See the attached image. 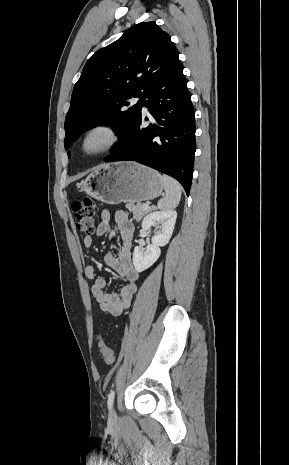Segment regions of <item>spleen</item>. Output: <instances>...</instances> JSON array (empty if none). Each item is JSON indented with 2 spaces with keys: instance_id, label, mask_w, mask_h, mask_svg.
<instances>
[{
  "instance_id": "3e777b00",
  "label": "spleen",
  "mask_w": 289,
  "mask_h": 465,
  "mask_svg": "<svg viewBox=\"0 0 289 465\" xmlns=\"http://www.w3.org/2000/svg\"><path fill=\"white\" fill-rule=\"evenodd\" d=\"M162 180L164 183L165 194L163 198L159 200L157 206L161 210L174 209L180 202L182 187L178 181L167 175H163Z\"/></svg>"
}]
</instances>
